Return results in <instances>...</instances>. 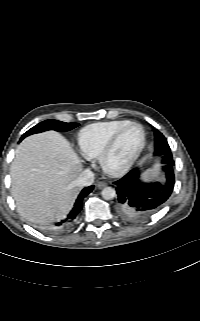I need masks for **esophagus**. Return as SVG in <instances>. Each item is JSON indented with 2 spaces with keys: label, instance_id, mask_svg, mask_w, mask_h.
Returning <instances> with one entry per match:
<instances>
[{
  "label": "esophagus",
  "instance_id": "34e87169",
  "mask_svg": "<svg viewBox=\"0 0 200 321\" xmlns=\"http://www.w3.org/2000/svg\"><path fill=\"white\" fill-rule=\"evenodd\" d=\"M105 186H106V183H105V182H103V181L97 182V187H98L99 189H101V188H103V187H105Z\"/></svg>",
  "mask_w": 200,
  "mask_h": 321
}]
</instances>
